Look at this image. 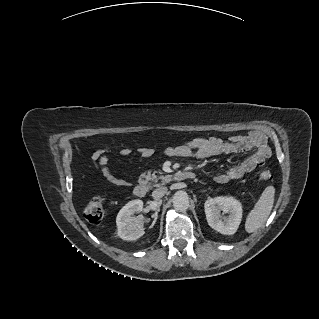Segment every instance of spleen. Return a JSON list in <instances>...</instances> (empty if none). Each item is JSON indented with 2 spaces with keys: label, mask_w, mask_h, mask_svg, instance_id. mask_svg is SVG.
<instances>
[{
  "label": "spleen",
  "mask_w": 319,
  "mask_h": 319,
  "mask_svg": "<svg viewBox=\"0 0 319 319\" xmlns=\"http://www.w3.org/2000/svg\"><path fill=\"white\" fill-rule=\"evenodd\" d=\"M275 188L268 186L246 218L245 230L252 233L268 219L274 204Z\"/></svg>",
  "instance_id": "3e777b00"
}]
</instances>
